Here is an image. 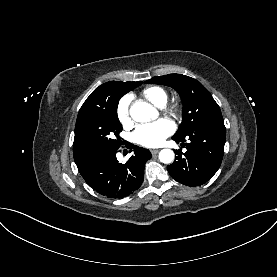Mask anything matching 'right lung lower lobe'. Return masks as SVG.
<instances>
[{
    "label": "right lung lower lobe",
    "mask_w": 277,
    "mask_h": 277,
    "mask_svg": "<svg viewBox=\"0 0 277 277\" xmlns=\"http://www.w3.org/2000/svg\"><path fill=\"white\" fill-rule=\"evenodd\" d=\"M133 149L134 155L125 164L118 162L117 149L98 153L76 165L94 190L109 198H122L139 189L144 179L145 163L151 158L149 150L138 146Z\"/></svg>",
    "instance_id": "right-lung-lower-lobe-1"
}]
</instances>
